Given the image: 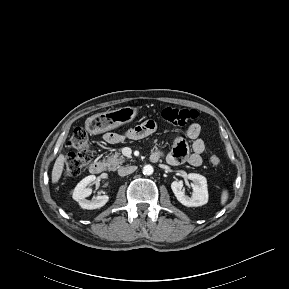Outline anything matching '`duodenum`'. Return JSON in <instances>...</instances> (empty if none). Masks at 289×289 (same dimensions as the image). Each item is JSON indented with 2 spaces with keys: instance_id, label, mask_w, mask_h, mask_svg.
<instances>
[{
  "instance_id": "1",
  "label": "duodenum",
  "mask_w": 289,
  "mask_h": 289,
  "mask_svg": "<svg viewBox=\"0 0 289 289\" xmlns=\"http://www.w3.org/2000/svg\"><path fill=\"white\" fill-rule=\"evenodd\" d=\"M160 159V155L157 153H152L150 155V160L152 162H157ZM89 170L92 174L98 175L104 172L105 165L101 161H94L91 163Z\"/></svg>"
}]
</instances>
